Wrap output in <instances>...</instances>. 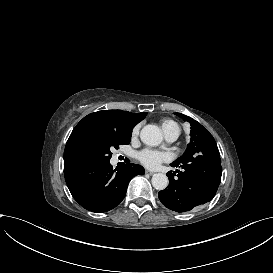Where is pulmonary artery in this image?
I'll return each instance as SVG.
<instances>
[{
    "instance_id": "pulmonary-artery-1",
    "label": "pulmonary artery",
    "mask_w": 273,
    "mask_h": 273,
    "mask_svg": "<svg viewBox=\"0 0 273 273\" xmlns=\"http://www.w3.org/2000/svg\"><path fill=\"white\" fill-rule=\"evenodd\" d=\"M165 137L168 142H174L177 138L176 134L174 133H165Z\"/></svg>"
}]
</instances>
